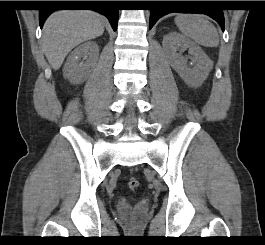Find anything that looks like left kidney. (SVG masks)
Here are the masks:
<instances>
[{"instance_id": "1", "label": "left kidney", "mask_w": 265, "mask_h": 245, "mask_svg": "<svg viewBox=\"0 0 265 245\" xmlns=\"http://www.w3.org/2000/svg\"><path fill=\"white\" fill-rule=\"evenodd\" d=\"M162 44L171 67L184 82L190 87L201 86L213 68V62L206 53L194 42L177 32L165 35ZM179 49H188L193 67L187 64V58L177 53Z\"/></svg>"}]
</instances>
